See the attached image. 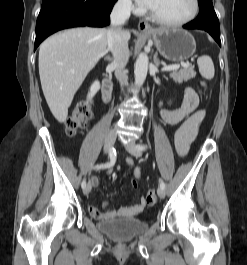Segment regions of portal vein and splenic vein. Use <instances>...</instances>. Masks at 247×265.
Wrapping results in <instances>:
<instances>
[{"mask_svg":"<svg viewBox=\"0 0 247 265\" xmlns=\"http://www.w3.org/2000/svg\"><path fill=\"white\" fill-rule=\"evenodd\" d=\"M181 66L187 67V64H181ZM180 68V64H175V65H168L164 66L162 68V71H172V70H178Z\"/></svg>","mask_w":247,"mask_h":265,"instance_id":"1","label":"portal vein and splenic vein"}]
</instances>
